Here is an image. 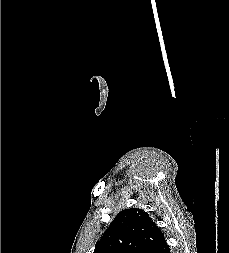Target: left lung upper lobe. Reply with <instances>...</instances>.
I'll return each mask as SVG.
<instances>
[{
    "instance_id": "left-lung-upper-lobe-1",
    "label": "left lung upper lobe",
    "mask_w": 229,
    "mask_h": 253,
    "mask_svg": "<svg viewBox=\"0 0 229 253\" xmlns=\"http://www.w3.org/2000/svg\"><path fill=\"white\" fill-rule=\"evenodd\" d=\"M163 240L147 212L130 208L118 213L93 253H155Z\"/></svg>"
}]
</instances>
